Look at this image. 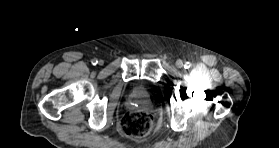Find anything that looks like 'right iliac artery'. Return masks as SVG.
I'll return each mask as SVG.
<instances>
[{
    "label": "right iliac artery",
    "mask_w": 279,
    "mask_h": 148,
    "mask_svg": "<svg viewBox=\"0 0 279 148\" xmlns=\"http://www.w3.org/2000/svg\"><path fill=\"white\" fill-rule=\"evenodd\" d=\"M97 63H98L97 59H93V60H92V64H93V65H96Z\"/></svg>",
    "instance_id": "right-iliac-artery-1"
}]
</instances>
